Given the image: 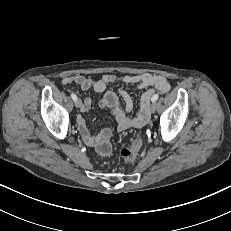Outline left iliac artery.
I'll return each instance as SVG.
<instances>
[{
	"mask_svg": "<svg viewBox=\"0 0 231 231\" xmlns=\"http://www.w3.org/2000/svg\"><path fill=\"white\" fill-rule=\"evenodd\" d=\"M158 98H159L158 94L153 95L152 102H156Z\"/></svg>",
	"mask_w": 231,
	"mask_h": 231,
	"instance_id": "44dca946",
	"label": "left iliac artery"
}]
</instances>
